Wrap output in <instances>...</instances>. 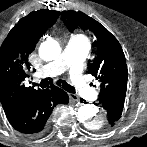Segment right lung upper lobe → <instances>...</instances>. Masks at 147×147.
<instances>
[{"instance_id": "right-lung-upper-lobe-1", "label": "right lung upper lobe", "mask_w": 147, "mask_h": 147, "mask_svg": "<svg viewBox=\"0 0 147 147\" xmlns=\"http://www.w3.org/2000/svg\"><path fill=\"white\" fill-rule=\"evenodd\" d=\"M58 11L39 10L20 19L9 32L0 49V102L8 117L20 112L43 90L26 88L29 54L43 32L59 16Z\"/></svg>"}]
</instances>
